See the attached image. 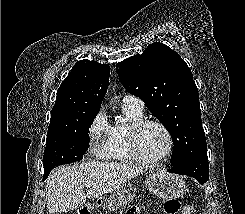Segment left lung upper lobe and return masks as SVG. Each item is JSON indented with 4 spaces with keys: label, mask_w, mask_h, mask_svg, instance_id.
<instances>
[{
    "label": "left lung upper lobe",
    "mask_w": 245,
    "mask_h": 214,
    "mask_svg": "<svg viewBox=\"0 0 245 214\" xmlns=\"http://www.w3.org/2000/svg\"><path fill=\"white\" fill-rule=\"evenodd\" d=\"M116 71L124 88L141 98L171 134L172 165L207 152L198 89L178 53L155 42L142 54L119 62Z\"/></svg>",
    "instance_id": "obj_1"
}]
</instances>
